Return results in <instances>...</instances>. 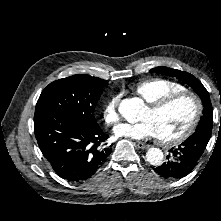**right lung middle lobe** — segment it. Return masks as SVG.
Listing matches in <instances>:
<instances>
[{
    "label": "right lung middle lobe",
    "mask_w": 221,
    "mask_h": 221,
    "mask_svg": "<svg viewBox=\"0 0 221 221\" xmlns=\"http://www.w3.org/2000/svg\"><path fill=\"white\" fill-rule=\"evenodd\" d=\"M108 81L86 74L73 75L50 83L36 107H46L86 125H98L95 106Z\"/></svg>",
    "instance_id": "dd1d6c3e"
}]
</instances>
